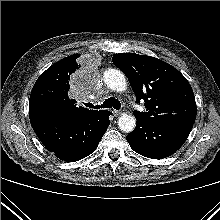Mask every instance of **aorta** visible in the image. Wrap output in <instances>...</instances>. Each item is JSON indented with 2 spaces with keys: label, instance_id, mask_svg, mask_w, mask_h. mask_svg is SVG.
Listing matches in <instances>:
<instances>
[{
  "label": "aorta",
  "instance_id": "aorta-1",
  "mask_svg": "<svg viewBox=\"0 0 220 220\" xmlns=\"http://www.w3.org/2000/svg\"><path fill=\"white\" fill-rule=\"evenodd\" d=\"M104 83L112 90L122 92L127 88L125 75L117 69H108L103 75ZM119 129L123 132H131L136 126V119L133 115L123 113L118 120Z\"/></svg>",
  "mask_w": 220,
  "mask_h": 220
}]
</instances>
